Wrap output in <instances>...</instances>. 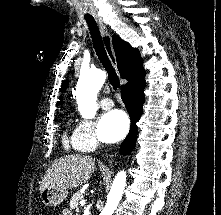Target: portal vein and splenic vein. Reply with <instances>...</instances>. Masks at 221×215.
I'll list each match as a JSON object with an SVG mask.
<instances>
[{
	"label": "portal vein and splenic vein",
	"instance_id": "obj_1",
	"mask_svg": "<svg viewBox=\"0 0 221 215\" xmlns=\"http://www.w3.org/2000/svg\"><path fill=\"white\" fill-rule=\"evenodd\" d=\"M85 203H86V200H84V199L80 201L81 206H84Z\"/></svg>",
	"mask_w": 221,
	"mask_h": 215
}]
</instances>
